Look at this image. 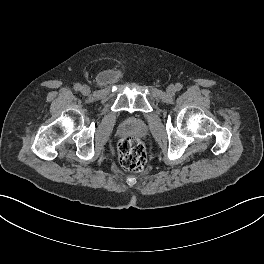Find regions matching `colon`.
<instances>
[{
    "label": "colon",
    "instance_id": "1",
    "mask_svg": "<svg viewBox=\"0 0 264 264\" xmlns=\"http://www.w3.org/2000/svg\"><path fill=\"white\" fill-rule=\"evenodd\" d=\"M121 166L131 172L141 171L146 164V152L143 143L134 136L122 138L117 146Z\"/></svg>",
    "mask_w": 264,
    "mask_h": 264
}]
</instances>
